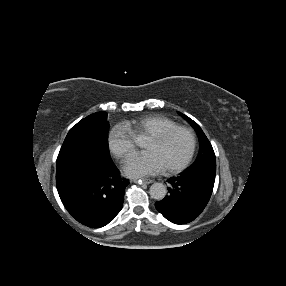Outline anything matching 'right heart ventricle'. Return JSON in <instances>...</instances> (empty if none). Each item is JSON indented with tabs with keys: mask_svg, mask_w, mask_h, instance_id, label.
I'll list each match as a JSON object with an SVG mask.
<instances>
[{
	"mask_svg": "<svg viewBox=\"0 0 286 286\" xmlns=\"http://www.w3.org/2000/svg\"><path fill=\"white\" fill-rule=\"evenodd\" d=\"M123 126L130 131L134 138L138 139L142 136H151L163 130L179 127V124L164 116L150 115L127 121Z\"/></svg>",
	"mask_w": 286,
	"mask_h": 286,
	"instance_id": "obj_1",
	"label": "right heart ventricle"
}]
</instances>
